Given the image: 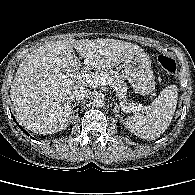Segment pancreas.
<instances>
[{"mask_svg": "<svg viewBox=\"0 0 195 195\" xmlns=\"http://www.w3.org/2000/svg\"><path fill=\"white\" fill-rule=\"evenodd\" d=\"M93 74L100 75V74H105L108 77H110L113 81V85L118 88L119 91V99L123 102V104L128 107L132 108L135 106V103L130 102L127 99V86L126 82L124 81V78L122 75H120L117 71L113 70H100L97 71Z\"/></svg>", "mask_w": 195, "mask_h": 195, "instance_id": "pancreas-1", "label": "pancreas"}]
</instances>
